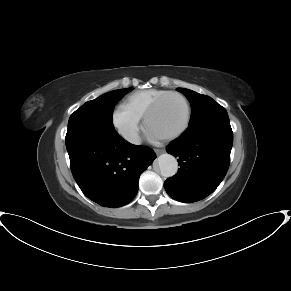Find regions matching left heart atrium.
I'll return each instance as SVG.
<instances>
[{
    "label": "left heart atrium",
    "instance_id": "39dd6f15",
    "mask_svg": "<svg viewBox=\"0 0 291 291\" xmlns=\"http://www.w3.org/2000/svg\"><path fill=\"white\" fill-rule=\"evenodd\" d=\"M148 134L152 139H158L159 137L153 134L151 131L148 130Z\"/></svg>",
    "mask_w": 291,
    "mask_h": 291
}]
</instances>
